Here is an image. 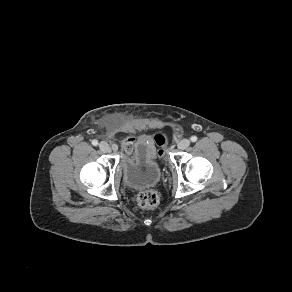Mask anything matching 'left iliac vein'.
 <instances>
[{"instance_id":"left-iliac-vein-1","label":"left iliac vein","mask_w":292,"mask_h":292,"mask_svg":"<svg viewBox=\"0 0 292 292\" xmlns=\"http://www.w3.org/2000/svg\"><path fill=\"white\" fill-rule=\"evenodd\" d=\"M189 145H190L189 139H182L178 142V149L184 150V149L188 148Z\"/></svg>"}]
</instances>
